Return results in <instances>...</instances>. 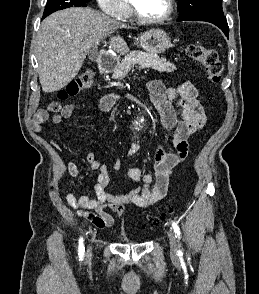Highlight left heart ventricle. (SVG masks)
<instances>
[{
    "mask_svg": "<svg viewBox=\"0 0 259 294\" xmlns=\"http://www.w3.org/2000/svg\"><path fill=\"white\" fill-rule=\"evenodd\" d=\"M139 12L148 18L162 16L167 9V0H131Z\"/></svg>",
    "mask_w": 259,
    "mask_h": 294,
    "instance_id": "obj_1",
    "label": "left heart ventricle"
}]
</instances>
